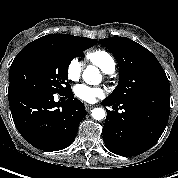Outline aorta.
I'll return each mask as SVG.
<instances>
[{
    "mask_svg": "<svg viewBox=\"0 0 178 178\" xmlns=\"http://www.w3.org/2000/svg\"><path fill=\"white\" fill-rule=\"evenodd\" d=\"M83 79L86 83L96 84L100 81L101 75L95 66H88L83 72ZM91 116L95 120H102L106 117V111L103 108H94Z\"/></svg>",
    "mask_w": 178,
    "mask_h": 178,
    "instance_id": "obj_1",
    "label": "aorta"
}]
</instances>
